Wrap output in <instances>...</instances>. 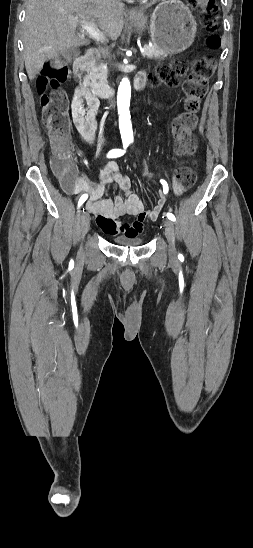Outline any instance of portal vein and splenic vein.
I'll use <instances>...</instances> for the list:
<instances>
[{
    "label": "portal vein and splenic vein",
    "instance_id": "portal-vein-and-splenic-vein-1",
    "mask_svg": "<svg viewBox=\"0 0 253 548\" xmlns=\"http://www.w3.org/2000/svg\"><path fill=\"white\" fill-rule=\"evenodd\" d=\"M78 22L81 25L82 32L87 33L89 35V37H91L92 39H94L96 41H101L102 40V36H101L99 30L97 29L96 25L93 22L89 21L84 16H80L79 19H78ZM148 50H149V47L144 46V48L141 50V53L143 55H145V54H147Z\"/></svg>",
    "mask_w": 253,
    "mask_h": 548
}]
</instances>
